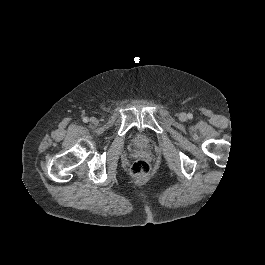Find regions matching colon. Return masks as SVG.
I'll return each instance as SVG.
<instances>
[{
	"label": "colon",
	"instance_id": "5ec220e1",
	"mask_svg": "<svg viewBox=\"0 0 265 265\" xmlns=\"http://www.w3.org/2000/svg\"><path fill=\"white\" fill-rule=\"evenodd\" d=\"M150 171V165L146 160L139 159L136 160L130 169L131 175L133 177L139 178L147 175Z\"/></svg>",
	"mask_w": 265,
	"mask_h": 265
}]
</instances>
